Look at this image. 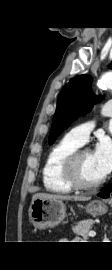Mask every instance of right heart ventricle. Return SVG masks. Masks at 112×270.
Here are the masks:
<instances>
[{"label":"right heart ventricle","instance_id":"e07e8e85","mask_svg":"<svg viewBox=\"0 0 112 270\" xmlns=\"http://www.w3.org/2000/svg\"><path fill=\"white\" fill-rule=\"evenodd\" d=\"M80 146V143L67 134L50 149L42 168V181L46 190L57 194L72 192L73 188L63 178L61 165L66 156Z\"/></svg>","mask_w":112,"mask_h":270}]
</instances>
